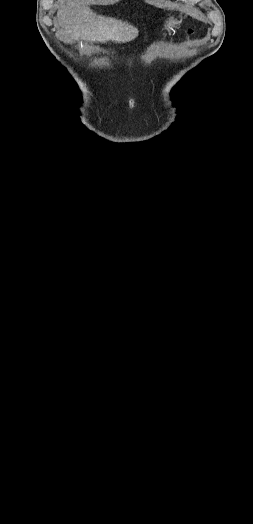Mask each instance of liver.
<instances>
[{"mask_svg":"<svg viewBox=\"0 0 253 524\" xmlns=\"http://www.w3.org/2000/svg\"><path fill=\"white\" fill-rule=\"evenodd\" d=\"M57 19L62 33L74 40L125 43L138 36V29L129 23L97 15L87 0H62Z\"/></svg>","mask_w":253,"mask_h":524,"instance_id":"liver-1","label":"liver"}]
</instances>
